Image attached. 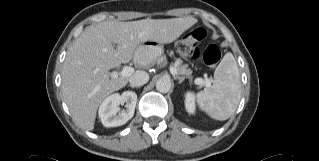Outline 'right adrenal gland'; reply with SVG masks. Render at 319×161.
Listing matches in <instances>:
<instances>
[{
  "label": "right adrenal gland",
  "instance_id": "2a0ac1e0",
  "mask_svg": "<svg viewBox=\"0 0 319 161\" xmlns=\"http://www.w3.org/2000/svg\"><path fill=\"white\" fill-rule=\"evenodd\" d=\"M131 88H135L134 86H132V85H129Z\"/></svg>",
  "mask_w": 319,
  "mask_h": 161
}]
</instances>
